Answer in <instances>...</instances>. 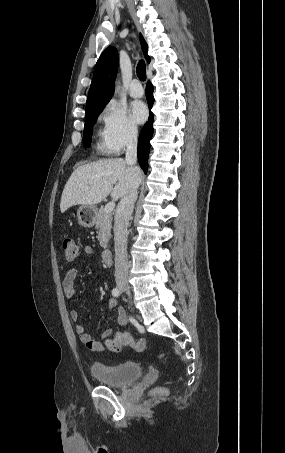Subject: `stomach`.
Returning <instances> with one entry per match:
<instances>
[{
	"label": "stomach",
	"instance_id": "obj_1",
	"mask_svg": "<svg viewBox=\"0 0 285 453\" xmlns=\"http://www.w3.org/2000/svg\"><path fill=\"white\" fill-rule=\"evenodd\" d=\"M96 213V209L93 206H80L77 211L79 224L83 227H92L95 224Z\"/></svg>",
	"mask_w": 285,
	"mask_h": 453
}]
</instances>
